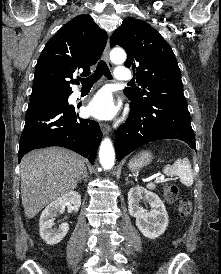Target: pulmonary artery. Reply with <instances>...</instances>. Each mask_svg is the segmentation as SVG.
Returning <instances> with one entry per match:
<instances>
[{
  "mask_svg": "<svg viewBox=\"0 0 221 274\" xmlns=\"http://www.w3.org/2000/svg\"><path fill=\"white\" fill-rule=\"evenodd\" d=\"M115 78L118 81H128L132 78V73L126 67H118L115 70Z\"/></svg>",
  "mask_w": 221,
  "mask_h": 274,
  "instance_id": "e3ab8cb5",
  "label": "pulmonary artery"
}]
</instances>
